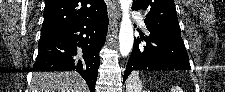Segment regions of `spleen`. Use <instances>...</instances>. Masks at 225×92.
Wrapping results in <instances>:
<instances>
[{
    "label": "spleen",
    "instance_id": "1",
    "mask_svg": "<svg viewBox=\"0 0 225 92\" xmlns=\"http://www.w3.org/2000/svg\"><path fill=\"white\" fill-rule=\"evenodd\" d=\"M142 88L139 71H133L126 81V92H142ZM171 92H182V90L178 86H172Z\"/></svg>",
    "mask_w": 225,
    "mask_h": 92
}]
</instances>
